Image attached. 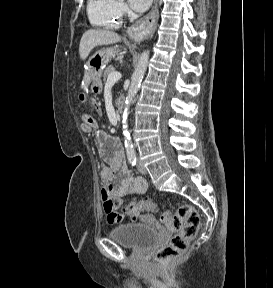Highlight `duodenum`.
I'll use <instances>...</instances> for the list:
<instances>
[{"label": "duodenum", "instance_id": "1", "mask_svg": "<svg viewBox=\"0 0 273 288\" xmlns=\"http://www.w3.org/2000/svg\"><path fill=\"white\" fill-rule=\"evenodd\" d=\"M125 100L124 99H119L117 102H116V105H115V108H116V111L117 113L119 114H122L124 109H125Z\"/></svg>", "mask_w": 273, "mask_h": 288}]
</instances>
